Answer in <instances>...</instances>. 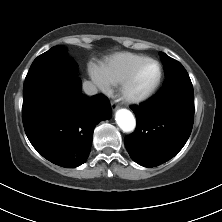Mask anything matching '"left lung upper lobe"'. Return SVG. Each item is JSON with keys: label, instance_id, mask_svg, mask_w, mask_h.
<instances>
[{"label": "left lung upper lobe", "instance_id": "5c2ea615", "mask_svg": "<svg viewBox=\"0 0 222 222\" xmlns=\"http://www.w3.org/2000/svg\"><path fill=\"white\" fill-rule=\"evenodd\" d=\"M160 56L164 65L166 76L164 85L191 82L187 71L180 62L170 58L163 52L160 53Z\"/></svg>", "mask_w": 222, "mask_h": 222}]
</instances>
